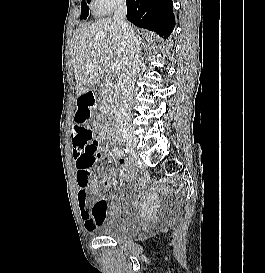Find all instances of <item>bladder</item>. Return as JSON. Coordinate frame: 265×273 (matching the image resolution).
<instances>
[{
    "instance_id": "31cf9c89",
    "label": "bladder",
    "mask_w": 265,
    "mask_h": 273,
    "mask_svg": "<svg viewBox=\"0 0 265 273\" xmlns=\"http://www.w3.org/2000/svg\"><path fill=\"white\" fill-rule=\"evenodd\" d=\"M140 227L141 219L137 214H115L102 221L95 232L102 237L123 240L137 235Z\"/></svg>"
}]
</instances>
